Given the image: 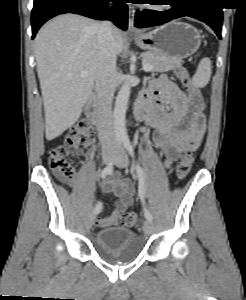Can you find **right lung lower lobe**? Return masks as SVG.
I'll use <instances>...</instances> for the list:
<instances>
[{"instance_id":"1","label":"right lung lower lobe","mask_w":246,"mask_h":300,"mask_svg":"<svg viewBox=\"0 0 246 300\" xmlns=\"http://www.w3.org/2000/svg\"><path fill=\"white\" fill-rule=\"evenodd\" d=\"M109 2L116 3L111 14L107 10ZM69 12L98 20L110 19L119 28L127 29L128 7L124 0H34L31 14L32 39L46 21Z\"/></svg>"}]
</instances>
